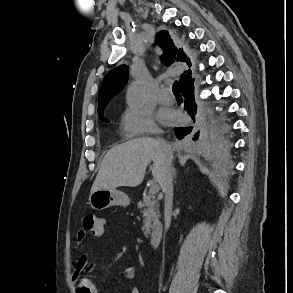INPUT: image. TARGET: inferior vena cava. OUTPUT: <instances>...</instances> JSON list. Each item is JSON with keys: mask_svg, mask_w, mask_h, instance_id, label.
Instances as JSON below:
<instances>
[{"mask_svg": "<svg viewBox=\"0 0 293 293\" xmlns=\"http://www.w3.org/2000/svg\"><path fill=\"white\" fill-rule=\"evenodd\" d=\"M162 149L168 154L166 162V170L162 182L160 183L161 189L165 194L164 199V221L165 229H168L171 222V212L173 205V173L172 155L170 154V146L162 139L158 140Z\"/></svg>", "mask_w": 293, "mask_h": 293, "instance_id": "602c4592", "label": "inferior vena cava"}]
</instances>
